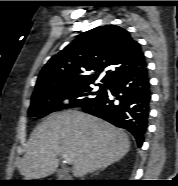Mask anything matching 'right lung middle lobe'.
<instances>
[{"mask_svg": "<svg viewBox=\"0 0 178 186\" xmlns=\"http://www.w3.org/2000/svg\"><path fill=\"white\" fill-rule=\"evenodd\" d=\"M92 84L72 88L48 89L39 91L32 96L29 116L42 118L52 112L71 106H85L101 97L107 84L101 85L97 92L93 91ZM64 99H70V104H63Z\"/></svg>", "mask_w": 178, "mask_h": 186, "instance_id": "right-lung-middle-lobe-1", "label": "right lung middle lobe"}]
</instances>
